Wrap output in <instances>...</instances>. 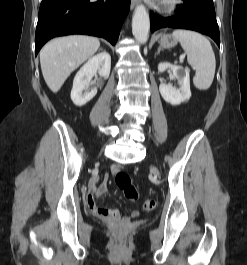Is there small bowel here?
<instances>
[{"label":"small bowel","instance_id":"1","mask_svg":"<svg viewBox=\"0 0 247 265\" xmlns=\"http://www.w3.org/2000/svg\"><path fill=\"white\" fill-rule=\"evenodd\" d=\"M119 170L118 167H114L113 171L117 172ZM109 177L105 175L102 183L98 188L92 187L88 196H87V204L91 211L98 215L99 217L107 220V221H119L121 219L118 210L116 209H107L97 204V200H100L108 191ZM139 215L138 211H133L131 213V217H137Z\"/></svg>","mask_w":247,"mask_h":265}]
</instances>
